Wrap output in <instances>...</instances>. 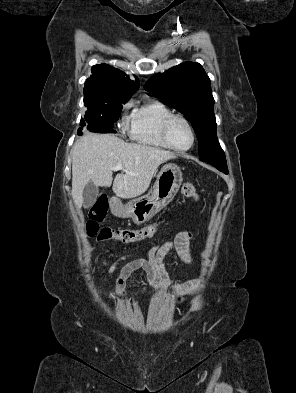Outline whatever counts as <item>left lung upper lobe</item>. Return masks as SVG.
<instances>
[{"label": "left lung upper lobe", "instance_id": "obj_1", "mask_svg": "<svg viewBox=\"0 0 296 393\" xmlns=\"http://www.w3.org/2000/svg\"><path fill=\"white\" fill-rule=\"evenodd\" d=\"M144 88L164 104L179 110L191 122L198 137L200 160L216 167H227L216 134L211 82L199 63L185 62L157 73Z\"/></svg>", "mask_w": 296, "mask_h": 393}]
</instances>
